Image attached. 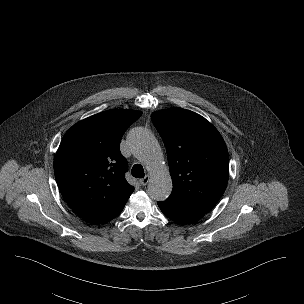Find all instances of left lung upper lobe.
<instances>
[{
	"label": "left lung upper lobe",
	"mask_w": 304,
	"mask_h": 304,
	"mask_svg": "<svg viewBox=\"0 0 304 304\" xmlns=\"http://www.w3.org/2000/svg\"><path fill=\"white\" fill-rule=\"evenodd\" d=\"M166 145L173 190L168 199L202 213L223 195L229 177L225 142L205 118L182 108L153 112Z\"/></svg>",
	"instance_id": "obj_1"
}]
</instances>
